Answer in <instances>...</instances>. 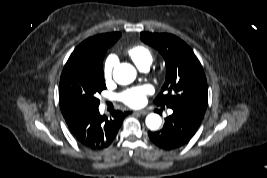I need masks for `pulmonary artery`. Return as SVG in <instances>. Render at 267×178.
I'll return each mask as SVG.
<instances>
[{
  "instance_id": "e3ab8cb5",
  "label": "pulmonary artery",
  "mask_w": 267,
  "mask_h": 178,
  "mask_svg": "<svg viewBox=\"0 0 267 178\" xmlns=\"http://www.w3.org/2000/svg\"><path fill=\"white\" fill-rule=\"evenodd\" d=\"M148 69H149V65L143 66L141 68V70H143V71H147ZM169 112L171 113L172 111H169Z\"/></svg>"
}]
</instances>
